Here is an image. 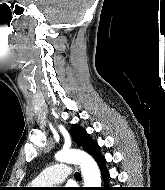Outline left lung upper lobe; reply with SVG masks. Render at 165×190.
<instances>
[{
  "mask_svg": "<svg viewBox=\"0 0 165 190\" xmlns=\"http://www.w3.org/2000/svg\"><path fill=\"white\" fill-rule=\"evenodd\" d=\"M70 133L75 142L80 146L84 147L85 150L90 155H92L96 161L102 157L99 151V145L89 138V134L85 130L77 127L76 125H73Z\"/></svg>",
  "mask_w": 165,
  "mask_h": 190,
  "instance_id": "1",
  "label": "left lung upper lobe"
}]
</instances>
